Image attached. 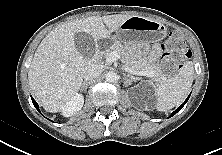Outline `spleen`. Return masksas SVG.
Listing matches in <instances>:
<instances>
[{
  "label": "spleen",
  "instance_id": "1",
  "mask_svg": "<svg viewBox=\"0 0 222 155\" xmlns=\"http://www.w3.org/2000/svg\"><path fill=\"white\" fill-rule=\"evenodd\" d=\"M193 77V63L189 61L184 64L177 75L163 80L155 89L156 109L167 111L180 105L189 93Z\"/></svg>",
  "mask_w": 222,
  "mask_h": 155
}]
</instances>
